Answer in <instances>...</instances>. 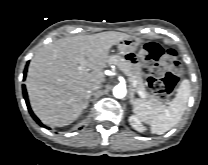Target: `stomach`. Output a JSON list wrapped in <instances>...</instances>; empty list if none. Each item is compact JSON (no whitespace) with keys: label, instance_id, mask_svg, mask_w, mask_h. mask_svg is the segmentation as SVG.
I'll list each match as a JSON object with an SVG mask.
<instances>
[{"label":"stomach","instance_id":"obj_1","mask_svg":"<svg viewBox=\"0 0 208 165\" xmlns=\"http://www.w3.org/2000/svg\"><path fill=\"white\" fill-rule=\"evenodd\" d=\"M139 45H140L139 41L129 37L127 39L120 41L118 43V48H119L121 54L123 55L124 52H126V51H131V52L135 53L137 51Z\"/></svg>","mask_w":208,"mask_h":165}]
</instances>
